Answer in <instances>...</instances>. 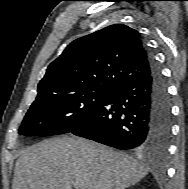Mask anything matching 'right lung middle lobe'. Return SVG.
Returning <instances> with one entry per match:
<instances>
[{"label":"right lung middle lobe","instance_id":"1","mask_svg":"<svg viewBox=\"0 0 188 189\" xmlns=\"http://www.w3.org/2000/svg\"><path fill=\"white\" fill-rule=\"evenodd\" d=\"M111 91L108 88H90L37 96L25 115L19 134L50 136L71 132Z\"/></svg>","mask_w":188,"mask_h":189}]
</instances>
